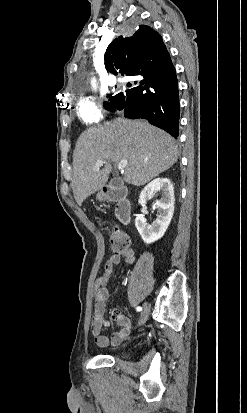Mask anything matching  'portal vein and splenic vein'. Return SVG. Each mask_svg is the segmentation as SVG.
<instances>
[{"label":"portal vein and splenic vein","instance_id":"1","mask_svg":"<svg viewBox=\"0 0 247 413\" xmlns=\"http://www.w3.org/2000/svg\"><path fill=\"white\" fill-rule=\"evenodd\" d=\"M103 162H105V160H103V158H99V160H96L95 162V166H103ZM128 160H120V162H118V168L119 170H123L124 166H126Z\"/></svg>","mask_w":247,"mask_h":413}]
</instances>
